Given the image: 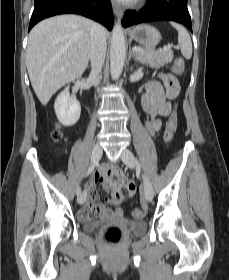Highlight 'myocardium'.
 Instances as JSON below:
<instances>
[{"label": "myocardium", "instance_id": "myocardium-1", "mask_svg": "<svg viewBox=\"0 0 229 280\" xmlns=\"http://www.w3.org/2000/svg\"><path fill=\"white\" fill-rule=\"evenodd\" d=\"M137 1H140V0H133L132 2H137Z\"/></svg>", "mask_w": 229, "mask_h": 280}]
</instances>
